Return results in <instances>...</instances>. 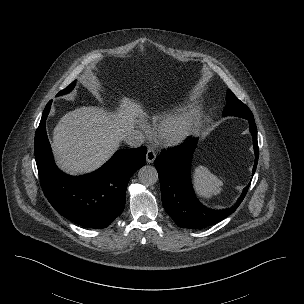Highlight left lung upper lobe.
<instances>
[{
  "mask_svg": "<svg viewBox=\"0 0 304 304\" xmlns=\"http://www.w3.org/2000/svg\"><path fill=\"white\" fill-rule=\"evenodd\" d=\"M223 116H237L247 120L254 119L250 109L242 103L231 90H227V105L223 110Z\"/></svg>",
  "mask_w": 304,
  "mask_h": 304,
  "instance_id": "5c2ea615",
  "label": "left lung upper lobe"
}]
</instances>
